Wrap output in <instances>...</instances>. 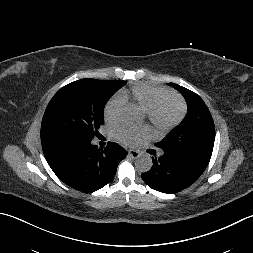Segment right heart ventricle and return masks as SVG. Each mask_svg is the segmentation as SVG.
<instances>
[{
  "label": "right heart ventricle",
  "instance_id": "right-heart-ventricle-1",
  "mask_svg": "<svg viewBox=\"0 0 253 253\" xmlns=\"http://www.w3.org/2000/svg\"><path fill=\"white\" fill-rule=\"evenodd\" d=\"M169 90L146 84H137L122 91L120 94L125 100H134L146 112L154 105V103L162 96L169 94Z\"/></svg>",
  "mask_w": 253,
  "mask_h": 253
}]
</instances>
